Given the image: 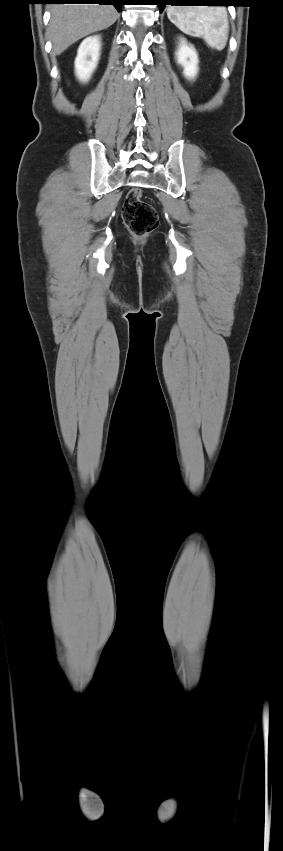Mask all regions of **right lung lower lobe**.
I'll return each instance as SVG.
<instances>
[{
  "instance_id": "right-lung-lower-lobe-1",
  "label": "right lung lower lobe",
  "mask_w": 283,
  "mask_h": 851,
  "mask_svg": "<svg viewBox=\"0 0 283 851\" xmlns=\"http://www.w3.org/2000/svg\"><path fill=\"white\" fill-rule=\"evenodd\" d=\"M124 0H45L47 4H100L114 5L117 11L121 10Z\"/></svg>"
}]
</instances>
